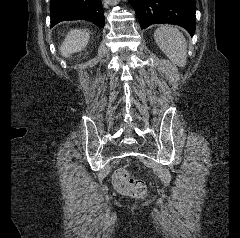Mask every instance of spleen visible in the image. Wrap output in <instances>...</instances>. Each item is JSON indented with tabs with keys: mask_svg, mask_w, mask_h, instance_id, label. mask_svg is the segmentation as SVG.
<instances>
[{
	"mask_svg": "<svg viewBox=\"0 0 240 238\" xmlns=\"http://www.w3.org/2000/svg\"><path fill=\"white\" fill-rule=\"evenodd\" d=\"M154 39L171 61L180 67L186 64L187 42L177 28L166 25L161 26L156 29Z\"/></svg>",
	"mask_w": 240,
	"mask_h": 238,
	"instance_id": "3e777b00",
	"label": "spleen"
}]
</instances>
